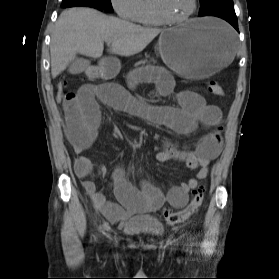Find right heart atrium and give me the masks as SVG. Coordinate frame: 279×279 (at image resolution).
Instances as JSON below:
<instances>
[{"label":"right heart atrium","mask_w":279,"mask_h":279,"mask_svg":"<svg viewBox=\"0 0 279 279\" xmlns=\"http://www.w3.org/2000/svg\"><path fill=\"white\" fill-rule=\"evenodd\" d=\"M111 5L119 17L135 21L139 11L140 0H111Z\"/></svg>","instance_id":"1"}]
</instances>
